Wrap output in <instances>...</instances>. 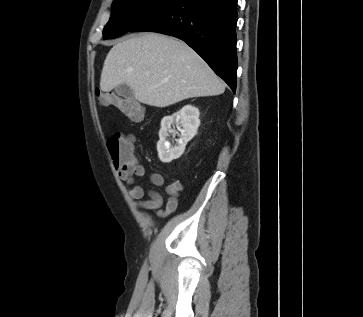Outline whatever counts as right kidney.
I'll use <instances>...</instances> for the list:
<instances>
[{
  "mask_svg": "<svg viewBox=\"0 0 363 317\" xmlns=\"http://www.w3.org/2000/svg\"><path fill=\"white\" fill-rule=\"evenodd\" d=\"M199 115L198 108L192 105H185L178 112L171 116H165L162 119L159 131L160 139L157 143L158 157L161 162L169 163L184 153L187 143L197 134L200 125ZM173 124H176L177 129L181 132V136L175 146H171L167 140L169 133L173 136L176 134V131L171 128Z\"/></svg>",
  "mask_w": 363,
  "mask_h": 317,
  "instance_id": "obj_1",
  "label": "right kidney"
}]
</instances>
